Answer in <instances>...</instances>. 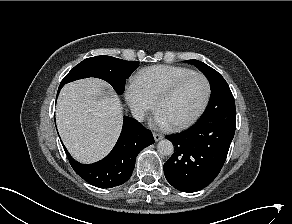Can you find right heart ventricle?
<instances>
[{
  "mask_svg": "<svg viewBox=\"0 0 292 224\" xmlns=\"http://www.w3.org/2000/svg\"><path fill=\"white\" fill-rule=\"evenodd\" d=\"M195 72L194 70L174 65H155L140 70L134 81L140 85L148 97L155 101L159 94L179 78Z\"/></svg>",
  "mask_w": 292,
  "mask_h": 224,
  "instance_id": "obj_1",
  "label": "right heart ventricle"
}]
</instances>
